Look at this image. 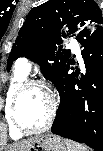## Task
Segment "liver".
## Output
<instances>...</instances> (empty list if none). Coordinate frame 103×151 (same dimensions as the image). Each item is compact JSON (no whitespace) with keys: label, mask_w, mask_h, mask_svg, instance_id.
<instances>
[{"label":"liver","mask_w":103,"mask_h":151,"mask_svg":"<svg viewBox=\"0 0 103 151\" xmlns=\"http://www.w3.org/2000/svg\"><path fill=\"white\" fill-rule=\"evenodd\" d=\"M35 140L36 138H31V139L16 143L12 146V148H10L9 151H26Z\"/></svg>","instance_id":"1"}]
</instances>
